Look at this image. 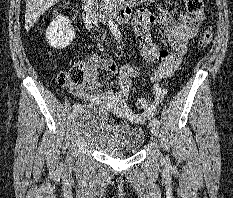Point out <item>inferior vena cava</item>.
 <instances>
[{
    "mask_svg": "<svg viewBox=\"0 0 233 198\" xmlns=\"http://www.w3.org/2000/svg\"><path fill=\"white\" fill-rule=\"evenodd\" d=\"M89 5H90L89 12L91 13L92 12L91 6H93V8L95 7V9L96 7H98L97 0H89ZM92 17H96V15H92Z\"/></svg>",
    "mask_w": 233,
    "mask_h": 198,
    "instance_id": "1",
    "label": "inferior vena cava"
}]
</instances>
